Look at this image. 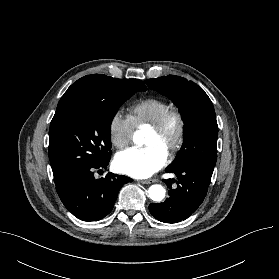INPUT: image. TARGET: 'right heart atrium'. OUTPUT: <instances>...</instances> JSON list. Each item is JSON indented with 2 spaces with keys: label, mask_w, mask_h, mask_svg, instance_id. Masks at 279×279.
Instances as JSON below:
<instances>
[{
  "label": "right heart atrium",
  "mask_w": 279,
  "mask_h": 279,
  "mask_svg": "<svg viewBox=\"0 0 279 279\" xmlns=\"http://www.w3.org/2000/svg\"><path fill=\"white\" fill-rule=\"evenodd\" d=\"M135 125L128 115H124L122 112H115L110 118L108 131L112 144L122 149L126 147L132 140Z\"/></svg>",
  "instance_id": "right-heart-atrium-1"
}]
</instances>
